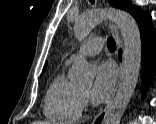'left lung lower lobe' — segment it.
<instances>
[{"instance_id": "1", "label": "left lung lower lobe", "mask_w": 156, "mask_h": 124, "mask_svg": "<svg viewBox=\"0 0 156 124\" xmlns=\"http://www.w3.org/2000/svg\"><path fill=\"white\" fill-rule=\"evenodd\" d=\"M138 23L142 43V92L147 90L156 72V30L151 25V16L139 8L132 14Z\"/></svg>"}]
</instances>
